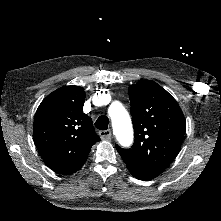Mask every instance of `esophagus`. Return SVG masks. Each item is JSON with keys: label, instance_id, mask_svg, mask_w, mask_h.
I'll use <instances>...</instances> for the list:
<instances>
[{"label": "esophagus", "instance_id": "1", "mask_svg": "<svg viewBox=\"0 0 221 221\" xmlns=\"http://www.w3.org/2000/svg\"><path fill=\"white\" fill-rule=\"evenodd\" d=\"M111 130L107 129L104 131H99V136L104 141H110L111 140Z\"/></svg>", "mask_w": 221, "mask_h": 221}]
</instances>
